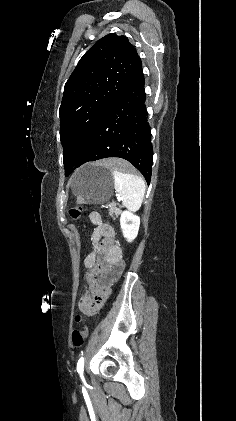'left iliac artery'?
Returning a JSON list of instances; mask_svg holds the SVG:
<instances>
[{"instance_id": "left-iliac-artery-1", "label": "left iliac artery", "mask_w": 236, "mask_h": 421, "mask_svg": "<svg viewBox=\"0 0 236 421\" xmlns=\"http://www.w3.org/2000/svg\"><path fill=\"white\" fill-rule=\"evenodd\" d=\"M83 371H84V358L83 357H81L79 360H78V363H77V372L80 374V376L83 378Z\"/></svg>"}]
</instances>
